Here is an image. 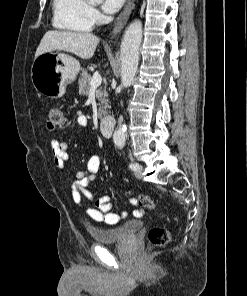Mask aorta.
I'll return each instance as SVG.
<instances>
[{
  "mask_svg": "<svg viewBox=\"0 0 247 296\" xmlns=\"http://www.w3.org/2000/svg\"><path fill=\"white\" fill-rule=\"evenodd\" d=\"M100 3L102 0H90ZM142 41V23L140 20L133 21L123 36L121 42V86L130 87L134 81L139 63V48ZM126 126L119 125L113 134L115 146L123 148L125 145Z\"/></svg>",
  "mask_w": 247,
  "mask_h": 296,
  "instance_id": "762f6f07",
  "label": "aorta"
}]
</instances>
